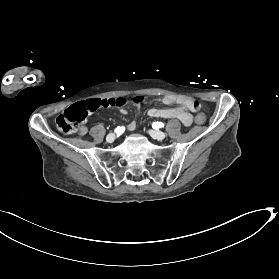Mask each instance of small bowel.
<instances>
[{
  "mask_svg": "<svg viewBox=\"0 0 279 279\" xmlns=\"http://www.w3.org/2000/svg\"><path fill=\"white\" fill-rule=\"evenodd\" d=\"M157 101L170 105V104H178L175 107L171 108H151L148 111L149 116L156 117V118H177L179 119L184 126H190L192 123V115L190 113V110L184 106V104L178 100V98L172 97V96H163L161 98H158ZM122 114H126L127 110L125 108H122L121 110ZM136 128V122L133 120L131 121L128 126V131H133ZM86 132V129L83 128L81 131V134H84Z\"/></svg>",
  "mask_w": 279,
  "mask_h": 279,
  "instance_id": "obj_1",
  "label": "small bowel"
}]
</instances>
